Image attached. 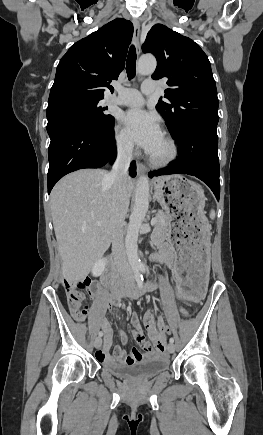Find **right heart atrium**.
<instances>
[{
    "mask_svg": "<svg viewBox=\"0 0 263 435\" xmlns=\"http://www.w3.org/2000/svg\"><path fill=\"white\" fill-rule=\"evenodd\" d=\"M114 143L120 156L124 158H130L133 156L134 145L119 126H116L114 129Z\"/></svg>",
    "mask_w": 263,
    "mask_h": 435,
    "instance_id": "1",
    "label": "right heart atrium"
}]
</instances>
